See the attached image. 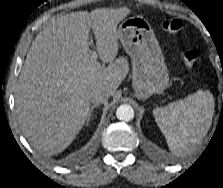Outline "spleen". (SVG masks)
<instances>
[{"mask_svg": "<svg viewBox=\"0 0 223 188\" xmlns=\"http://www.w3.org/2000/svg\"><path fill=\"white\" fill-rule=\"evenodd\" d=\"M214 114L210 91L198 90L165 107L155 108V121L173 153H189L207 134Z\"/></svg>", "mask_w": 223, "mask_h": 188, "instance_id": "obj_1", "label": "spleen"}]
</instances>
